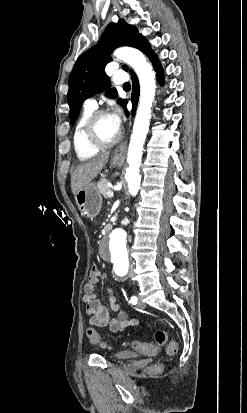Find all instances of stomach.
I'll use <instances>...</instances> for the list:
<instances>
[{
  "mask_svg": "<svg viewBox=\"0 0 247 413\" xmlns=\"http://www.w3.org/2000/svg\"><path fill=\"white\" fill-rule=\"evenodd\" d=\"M123 160L122 156H113L111 164H121ZM75 200L82 217H97L99 215L102 207V196L95 182H89L80 188L75 194Z\"/></svg>",
  "mask_w": 247,
  "mask_h": 413,
  "instance_id": "1",
  "label": "stomach"
}]
</instances>
